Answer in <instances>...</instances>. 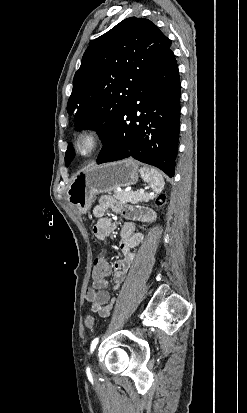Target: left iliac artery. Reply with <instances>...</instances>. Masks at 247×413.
<instances>
[{"label": "left iliac artery", "instance_id": "1", "mask_svg": "<svg viewBox=\"0 0 247 413\" xmlns=\"http://www.w3.org/2000/svg\"><path fill=\"white\" fill-rule=\"evenodd\" d=\"M99 338H95L90 346V352L92 353L94 351V349L96 348V345L98 344Z\"/></svg>", "mask_w": 247, "mask_h": 413}]
</instances>
